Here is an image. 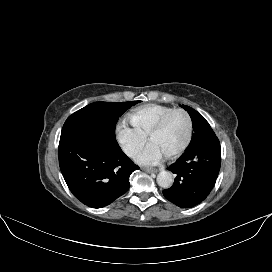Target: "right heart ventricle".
Masks as SVG:
<instances>
[{
	"label": "right heart ventricle",
	"mask_w": 272,
	"mask_h": 272,
	"mask_svg": "<svg viewBox=\"0 0 272 272\" xmlns=\"http://www.w3.org/2000/svg\"><path fill=\"white\" fill-rule=\"evenodd\" d=\"M173 108L160 104H146L133 109L127 118L134 128L148 135L157 120Z\"/></svg>",
	"instance_id": "e07e8e85"
}]
</instances>
